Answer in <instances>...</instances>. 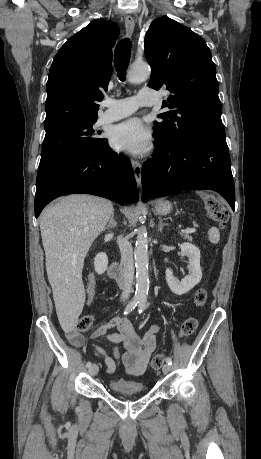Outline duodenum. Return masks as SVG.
Wrapping results in <instances>:
<instances>
[{
	"label": "duodenum",
	"mask_w": 261,
	"mask_h": 459,
	"mask_svg": "<svg viewBox=\"0 0 261 459\" xmlns=\"http://www.w3.org/2000/svg\"><path fill=\"white\" fill-rule=\"evenodd\" d=\"M108 273L113 279L121 280L123 278V269L121 265L115 260H111L109 262Z\"/></svg>",
	"instance_id": "1"
}]
</instances>
